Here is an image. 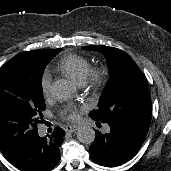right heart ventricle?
I'll return each instance as SVG.
<instances>
[{"mask_svg":"<svg viewBox=\"0 0 171 171\" xmlns=\"http://www.w3.org/2000/svg\"><path fill=\"white\" fill-rule=\"evenodd\" d=\"M58 69L81 84L85 81L91 66L84 57L77 54H68L59 61Z\"/></svg>","mask_w":171,"mask_h":171,"instance_id":"1","label":"right heart ventricle"}]
</instances>
